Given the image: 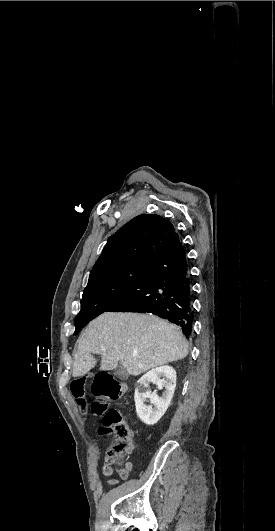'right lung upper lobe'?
I'll use <instances>...</instances> for the list:
<instances>
[{"instance_id":"cb5924a9","label":"right lung upper lobe","mask_w":275,"mask_h":531,"mask_svg":"<svg viewBox=\"0 0 275 531\" xmlns=\"http://www.w3.org/2000/svg\"><path fill=\"white\" fill-rule=\"evenodd\" d=\"M176 234L173 225L158 215H139L108 238L90 272L91 282L110 272L147 265Z\"/></svg>"}]
</instances>
